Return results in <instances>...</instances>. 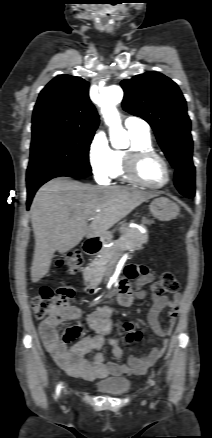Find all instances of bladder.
<instances>
[{
  "label": "bladder",
  "mask_w": 212,
  "mask_h": 438,
  "mask_svg": "<svg viewBox=\"0 0 212 438\" xmlns=\"http://www.w3.org/2000/svg\"><path fill=\"white\" fill-rule=\"evenodd\" d=\"M95 387L103 394L121 395L129 390L130 383L125 378H105L98 381Z\"/></svg>",
  "instance_id": "bladder-1"
}]
</instances>
